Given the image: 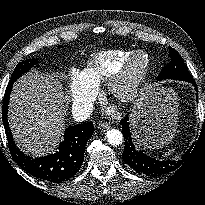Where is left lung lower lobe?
Segmentation results:
<instances>
[{"label":"left lung lower lobe","mask_w":205,"mask_h":205,"mask_svg":"<svg viewBox=\"0 0 205 205\" xmlns=\"http://www.w3.org/2000/svg\"><path fill=\"white\" fill-rule=\"evenodd\" d=\"M186 82L192 83L197 90V86L193 78L186 80ZM128 121L129 118L127 116L120 122L125 141L122 157L128 166L133 168L137 173H142L148 176H160L174 170L178 166V162L159 161L147 156L141 151H138L132 141Z\"/></svg>","instance_id":"left-lung-lower-lobe-1"}]
</instances>
